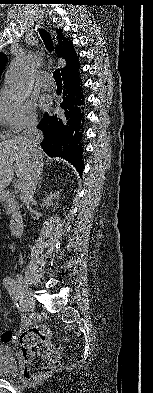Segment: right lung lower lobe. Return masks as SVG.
I'll return each mask as SVG.
<instances>
[{
  "label": "right lung lower lobe",
  "mask_w": 153,
  "mask_h": 393,
  "mask_svg": "<svg viewBox=\"0 0 153 393\" xmlns=\"http://www.w3.org/2000/svg\"><path fill=\"white\" fill-rule=\"evenodd\" d=\"M78 70L62 76L63 102L61 114L44 118L38 128L44 133L41 143L43 150L51 157L69 161L82 173V137L84 132V97L80 86Z\"/></svg>",
  "instance_id": "right-lung-lower-lobe-1"
}]
</instances>
